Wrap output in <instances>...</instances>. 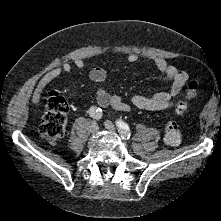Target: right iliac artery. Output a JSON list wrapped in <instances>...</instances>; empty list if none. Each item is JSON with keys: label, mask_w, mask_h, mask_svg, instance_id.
<instances>
[{"label": "right iliac artery", "mask_w": 221, "mask_h": 221, "mask_svg": "<svg viewBox=\"0 0 221 221\" xmlns=\"http://www.w3.org/2000/svg\"><path fill=\"white\" fill-rule=\"evenodd\" d=\"M89 114L92 118L96 120H100L102 118V110L100 108H97L96 106H92L89 109Z\"/></svg>", "instance_id": "obj_1"}]
</instances>
